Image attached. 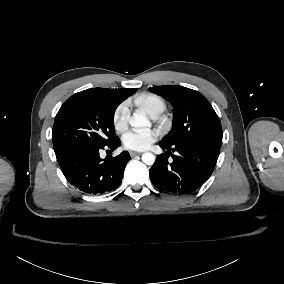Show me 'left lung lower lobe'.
<instances>
[{
  "label": "left lung lower lobe",
  "instance_id": "1",
  "mask_svg": "<svg viewBox=\"0 0 284 284\" xmlns=\"http://www.w3.org/2000/svg\"><path fill=\"white\" fill-rule=\"evenodd\" d=\"M166 154L157 156L149 170L153 185L162 192L186 194L199 188L212 174L220 148L201 142H182L169 145L160 142ZM170 151L175 152L172 155ZM170 153L173 161H168Z\"/></svg>",
  "mask_w": 284,
  "mask_h": 284
}]
</instances>
